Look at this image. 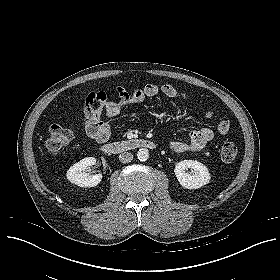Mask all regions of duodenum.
Returning <instances> with one entry per match:
<instances>
[{
	"label": "duodenum",
	"instance_id": "duodenum-1",
	"mask_svg": "<svg viewBox=\"0 0 280 280\" xmlns=\"http://www.w3.org/2000/svg\"><path fill=\"white\" fill-rule=\"evenodd\" d=\"M157 144L149 139H130L121 142L108 143L102 147V152L108 155H116L136 149H155Z\"/></svg>",
	"mask_w": 280,
	"mask_h": 280
}]
</instances>
